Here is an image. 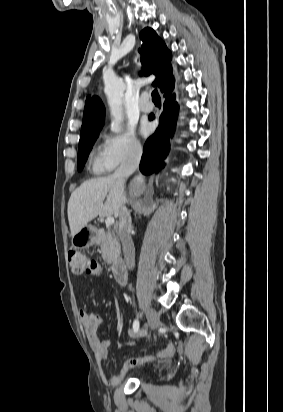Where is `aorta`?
<instances>
[{
	"instance_id": "aorta-1",
	"label": "aorta",
	"mask_w": 283,
	"mask_h": 412,
	"mask_svg": "<svg viewBox=\"0 0 283 412\" xmlns=\"http://www.w3.org/2000/svg\"><path fill=\"white\" fill-rule=\"evenodd\" d=\"M123 90L124 85L122 81L116 77L110 78L106 82L105 93L107 95L110 114L112 116L111 130L118 132L123 121ZM144 189L142 180H137L132 185V191L139 194Z\"/></svg>"
}]
</instances>
